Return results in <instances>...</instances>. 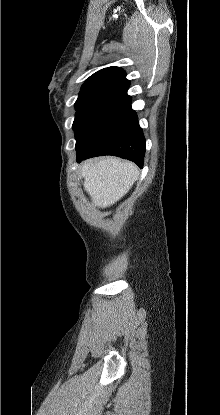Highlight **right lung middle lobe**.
<instances>
[{
	"mask_svg": "<svg viewBox=\"0 0 220 415\" xmlns=\"http://www.w3.org/2000/svg\"><path fill=\"white\" fill-rule=\"evenodd\" d=\"M128 88V84L116 80L83 84L75 103L76 150L88 149L113 115L131 101Z\"/></svg>",
	"mask_w": 220,
	"mask_h": 415,
	"instance_id": "right-lung-middle-lobe-1",
	"label": "right lung middle lobe"
}]
</instances>
